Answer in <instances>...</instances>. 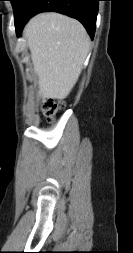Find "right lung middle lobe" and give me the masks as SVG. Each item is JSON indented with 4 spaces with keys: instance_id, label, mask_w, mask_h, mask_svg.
<instances>
[{
    "instance_id": "dd1d6c3e",
    "label": "right lung middle lobe",
    "mask_w": 133,
    "mask_h": 253,
    "mask_svg": "<svg viewBox=\"0 0 133 253\" xmlns=\"http://www.w3.org/2000/svg\"><path fill=\"white\" fill-rule=\"evenodd\" d=\"M14 10V21L16 22L19 18L22 6L26 0H10Z\"/></svg>"
}]
</instances>
